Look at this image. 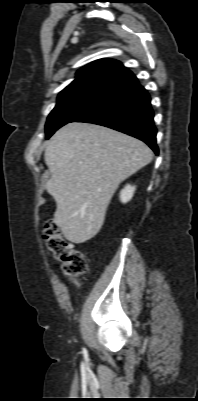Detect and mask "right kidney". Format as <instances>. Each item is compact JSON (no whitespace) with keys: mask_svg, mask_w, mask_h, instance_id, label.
<instances>
[{"mask_svg":"<svg viewBox=\"0 0 198 401\" xmlns=\"http://www.w3.org/2000/svg\"><path fill=\"white\" fill-rule=\"evenodd\" d=\"M136 187L126 185L125 188L120 192V200L122 203H127L133 197Z\"/></svg>","mask_w":198,"mask_h":401,"instance_id":"obj_1","label":"right kidney"}]
</instances>
